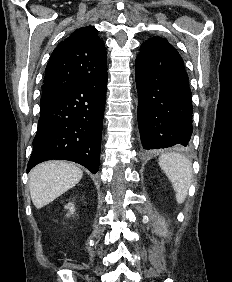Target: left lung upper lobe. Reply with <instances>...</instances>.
<instances>
[{"mask_svg":"<svg viewBox=\"0 0 232 282\" xmlns=\"http://www.w3.org/2000/svg\"><path fill=\"white\" fill-rule=\"evenodd\" d=\"M158 39H160V37H158V36H153L152 38H150V39L147 40V41L158 40Z\"/></svg>","mask_w":232,"mask_h":282,"instance_id":"left-lung-upper-lobe-1","label":"left lung upper lobe"}]
</instances>
